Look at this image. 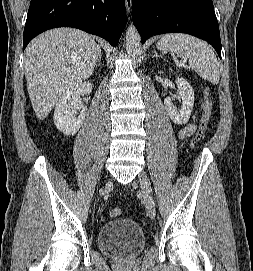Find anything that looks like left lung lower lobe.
Returning <instances> with one entry per match:
<instances>
[{"label":"left lung lower lobe","instance_id":"1","mask_svg":"<svg viewBox=\"0 0 253 271\" xmlns=\"http://www.w3.org/2000/svg\"><path fill=\"white\" fill-rule=\"evenodd\" d=\"M132 19L142 44L153 35L187 33L209 42L221 57L212 0H133Z\"/></svg>","mask_w":253,"mask_h":271}]
</instances>
